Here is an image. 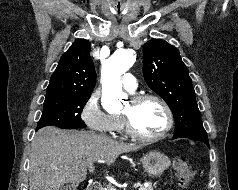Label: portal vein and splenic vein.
<instances>
[{
    "label": "portal vein and splenic vein",
    "instance_id": "1",
    "mask_svg": "<svg viewBox=\"0 0 238 190\" xmlns=\"http://www.w3.org/2000/svg\"><path fill=\"white\" fill-rule=\"evenodd\" d=\"M94 169L91 167V168H89V171H93ZM141 185H140V183H135L134 185H133V187L134 188H138V187H140ZM113 190H117L116 188H114Z\"/></svg>",
    "mask_w": 238,
    "mask_h": 190
}]
</instances>
